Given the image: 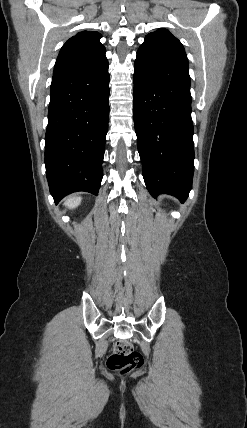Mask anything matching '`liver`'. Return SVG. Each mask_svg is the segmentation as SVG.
I'll use <instances>...</instances> for the list:
<instances>
[{"instance_id":"liver-1","label":"liver","mask_w":247,"mask_h":428,"mask_svg":"<svg viewBox=\"0 0 247 428\" xmlns=\"http://www.w3.org/2000/svg\"><path fill=\"white\" fill-rule=\"evenodd\" d=\"M82 198L81 197H72L65 202V205L70 209H74L80 205Z\"/></svg>"}]
</instances>
